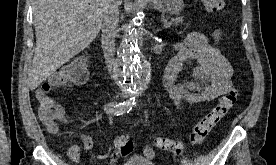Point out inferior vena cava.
Here are the masks:
<instances>
[{"mask_svg": "<svg viewBox=\"0 0 276 165\" xmlns=\"http://www.w3.org/2000/svg\"><path fill=\"white\" fill-rule=\"evenodd\" d=\"M119 0H104L102 47L110 72L115 73V37L119 28Z\"/></svg>", "mask_w": 276, "mask_h": 165, "instance_id": "inferior-vena-cava-1", "label": "inferior vena cava"}]
</instances>
